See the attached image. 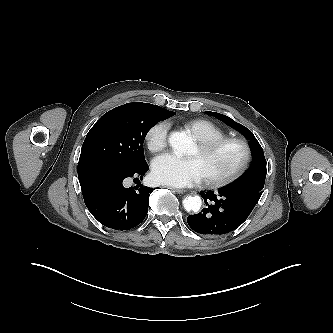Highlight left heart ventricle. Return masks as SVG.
I'll return each mask as SVG.
<instances>
[{
    "label": "left heart ventricle",
    "mask_w": 333,
    "mask_h": 333,
    "mask_svg": "<svg viewBox=\"0 0 333 333\" xmlns=\"http://www.w3.org/2000/svg\"><path fill=\"white\" fill-rule=\"evenodd\" d=\"M201 168L203 177L217 178L229 173L240 160L236 146H225L208 154L200 153L198 147L191 153Z\"/></svg>",
    "instance_id": "b2bd125f"
}]
</instances>
